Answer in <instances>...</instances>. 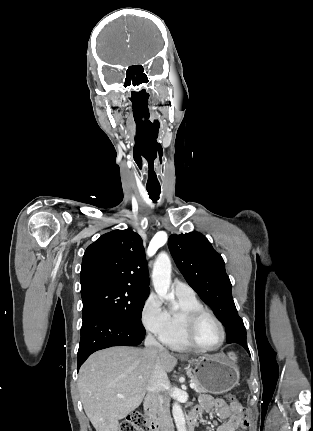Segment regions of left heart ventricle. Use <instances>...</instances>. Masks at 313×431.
<instances>
[{"mask_svg":"<svg viewBox=\"0 0 313 431\" xmlns=\"http://www.w3.org/2000/svg\"><path fill=\"white\" fill-rule=\"evenodd\" d=\"M195 339L205 347H213L219 343L220 329L212 318L205 316L199 321L195 330Z\"/></svg>","mask_w":313,"mask_h":431,"instance_id":"left-heart-ventricle-1","label":"left heart ventricle"}]
</instances>
